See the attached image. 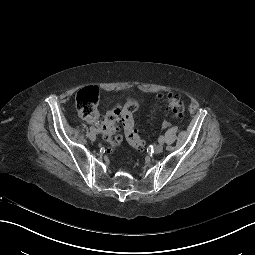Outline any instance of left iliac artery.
Listing matches in <instances>:
<instances>
[{
	"label": "left iliac artery",
	"instance_id": "left-iliac-artery-1",
	"mask_svg": "<svg viewBox=\"0 0 255 255\" xmlns=\"http://www.w3.org/2000/svg\"><path fill=\"white\" fill-rule=\"evenodd\" d=\"M158 142H159L160 144L164 143V137H163L162 135L159 136Z\"/></svg>",
	"mask_w": 255,
	"mask_h": 255
}]
</instances>
